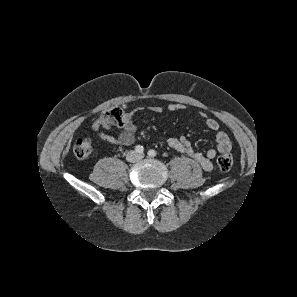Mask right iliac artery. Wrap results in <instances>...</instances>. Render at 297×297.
<instances>
[{"instance_id": "1", "label": "right iliac artery", "mask_w": 297, "mask_h": 297, "mask_svg": "<svg viewBox=\"0 0 297 297\" xmlns=\"http://www.w3.org/2000/svg\"><path fill=\"white\" fill-rule=\"evenodd\" d=\"M135 151H136L137 153H139V154H142V153L144 152V148H143V146H141V145H137V146L135 147Z\"/></svg>"}]
</instances>
